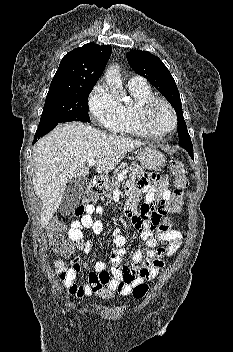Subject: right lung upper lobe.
Instances as JSON below:
<instances>
[{"instance_id": "obj_1", "label": "right lung upper lobe", "mask_w": 233, "mask_h": 352, "mask_svg": "<svg viewBox=\"0 0 233 352\" xmlns=\"http://www.w3.org/2000/svg\"><path fill=\"white\" fill-rule=\"evenodd\" d=\"M110 45L88 43L61 60L49 89H75L95 85L111 55Z\"/></svg>"}]
</instances>
